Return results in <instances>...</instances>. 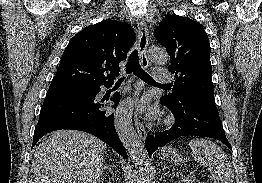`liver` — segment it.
I'll use <instances>...</instances> for the list:
<instances>
[{"mask_svg": "<svg viewBox=\"0 0 262 183\" xmlns=\"http://www.w3.org/2000/svg\"><path fill=\"white\" fill-rule=\"evenodd\" d=\"M106 148L88 133L55 131L36 148L29 183H98Z\"/></svg>", "mask_w": 262, "mask_h": 183, "instance_id": "liver-1", "label": "liver"}]
</instances>
